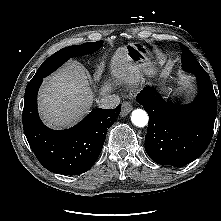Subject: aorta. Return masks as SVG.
Listing matches in <instances>:
<instances>
[{
  "instance_id": "aorta-1",
  "label": "aorta",
  "mask_w": 221,
  "mask_h": 221,
  "mask_svg": "<svg viewBox=\"0 0 221 221\" xmlns=\"http://www.w3.org/2000/svg\"><path fill=\"white\" fill-rule=\"evenodd\" d=\"M131 121L135 126L144 127L148 123V114L142 109H135L131 114Z\"/></svg>"
}]
</instances>
